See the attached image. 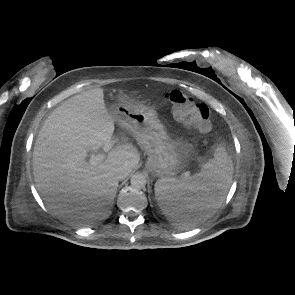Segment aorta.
<instances>
[{"instance_id":"obj_1","label":"aorta","mask_w":295,"mask_h":295,"mask_svg":"<svg viewBox=\"0 0 295 295\" xmlns=\"http://www.w3.org/2000/svg\"><path fill=\"white\" fill-rule=\"evenodd\" d=\"M146 182H147L146 177L142 173H135L131 177V185L134 188H137V189L143 188L145 187Z\"/></svg>"}]
</instances>
